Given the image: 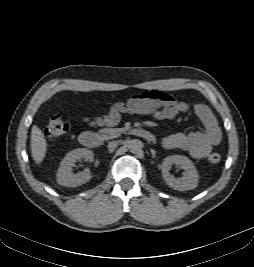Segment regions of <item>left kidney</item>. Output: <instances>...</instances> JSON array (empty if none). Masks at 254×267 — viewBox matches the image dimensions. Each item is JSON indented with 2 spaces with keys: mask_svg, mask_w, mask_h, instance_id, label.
<instances>
[{
  "mask_svg": "<svg viewBox=\"0 0 254 267\" xmlns=\"http://www.w3.org/2000/svg\"><path fill=\"white\" fill-rule=\"evenodd\" d=\"M176 164L185 170L180 178L170 174V165ZM162 176L166 184L179 191L192 190L198 186L199 175L193 162L186 156L172 155L164 159L162 163Z\"/></svg>",
  "mask_w": 254,
  "mask_h": 267,
  "instance_id": "5707ae66",
  "label": "left kidney"
}]
</instances>
